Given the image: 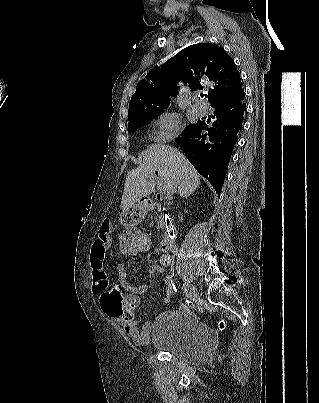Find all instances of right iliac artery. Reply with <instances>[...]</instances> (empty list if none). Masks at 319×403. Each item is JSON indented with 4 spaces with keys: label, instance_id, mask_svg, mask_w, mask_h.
Wrapping results in <instances>:
<instances>
[{
    "label": "right iliac artery",
    "instance_id": "1",
    "mask_svg": "<svg viewBox=\"0 0 319 403\" xmlns=\"http://www.w3.org/2000/svg\"><path fill=\"white\" fill-rule=\"evenodd\" d=\"M165 282H166V284L170 287L171 290H173V291H175V292L177 291V289H176V287H175V284L173 283V280H172V278H171L170 276H167V277H166Z\"/></svg>",
    "mask_w": 319,
    "mask_h": 403
}]
</instances>
